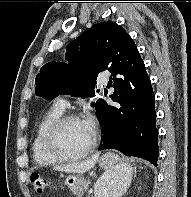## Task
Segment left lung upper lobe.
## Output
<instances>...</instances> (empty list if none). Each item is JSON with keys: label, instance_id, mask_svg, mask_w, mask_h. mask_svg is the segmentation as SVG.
Wrapping results in <instances>:
<instances>
[{"label": "left lung upper lobe", "instance_id": "obj_1", "mask_svg": "<svg viewBox=\"0 0 191 197\" xmlns=\"http://www.w3.org/2000/svg\"><path fill=\"white\" fill-rule=\"evenodd\" d=\"M69 64L50 62L37 75L36 95L47 100L59 94L82 96L95 94L98 74L134 72L144 67L139 51L126 30L113 22H101L84 31L66 47ZM93 103L98 114L103 107Z\"/></svg>", "mask_w": 191, "mask_h": 197}]
</instances>
